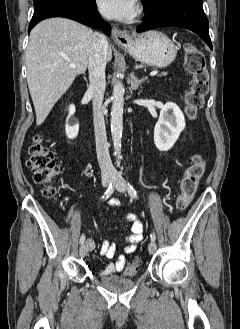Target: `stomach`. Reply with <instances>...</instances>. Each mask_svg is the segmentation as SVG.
I'll return each instance as SVG.
<instances>
[{
	"mask_svg": "<svg viewBox=\"0 0 240 329\" xmlns=\"http://www.w3.org/2000/svg\"><path fill=\"white\" fill-rule=\"evenodd\" d=\"M122 48L137 61L159 68L168 66L177 53L174 43L158 31L142 33Z\"/></svg>",
	"mask_w": 240,
	"mask_h": 329,
	"instance_id": "1",
	"label": "stomach"
}]
</instances>
